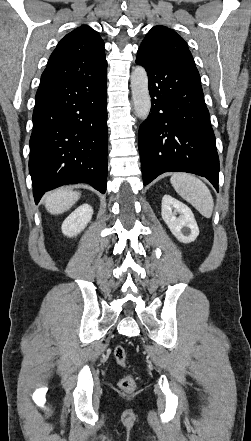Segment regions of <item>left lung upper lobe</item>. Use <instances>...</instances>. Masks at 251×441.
Here are the masks:
<instances>
[{"label":"left lung upper lobe","mask_w":251,"mask_h":441,"mask_svg":"<svg viewBox=\"0 0 251 441\" xmlns=\"http://www.w3.org/2000/svg\"><path fill=\"white\" fill-rule=\"evenodd\" d=\"M151 59L172 62L198 71L187 43L175 31L165 26L153 27L138 49Z\"/></svg>","instance_id":"5c2ea615"}]
</instances>
